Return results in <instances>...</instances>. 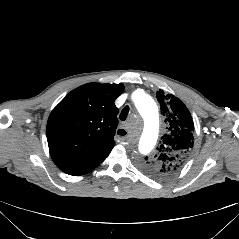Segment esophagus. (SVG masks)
<instances>
[{
	"instance_id": "esophagus-1",
	"label": "esophagus",
	"mask_w": 239,
	"mask_h": 239,
	"mask_svg": "<svg viewBox=\"0 0 239 239\" xmlns=\"http://www.w3.org/2000/svg\"><path fill=\"white\" fill-rule=\"evenodd\" d=\"M116 136L120 139V140H122V141H124V140H127L128 139V131L124 128V127H122V126H120V127H118L117 128V130H116Z\"/></svg>"
}]
</instances>
